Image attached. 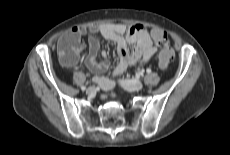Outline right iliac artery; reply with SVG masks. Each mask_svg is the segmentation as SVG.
<instances>
[{
	"instance_id": "1",
	"label": "right iliac artery",
	"mask_w": 230,
	"mask_h": 155,
	"mask_svg": "<svg viewBox=\"0 0 230 155\" xmlns=\"http://www.w3.org/2000/svg\"><path fill=\"white\" fill-rule=\"evenodd\" d=\"M81 89H82V90H85V89H86V87H85V86H82V87H81Z\"/></svg>"
}]
</instances>
